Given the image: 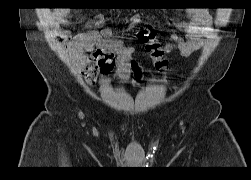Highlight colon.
<instances>
[{
    "instance_id": "1",
    "label": "colon",
    "mask_w": 251,
    "mask_h": 180,
    "mask_svg": "<svg viewBox=\"0 0 251 180\" xmlns=\"http://www.w3.org/2000/svg\"><path fill=\"white\" fill-rule=\"evenodd\" d=\"M138 38L145 45L146 51L155 61V66L158 69L166 65L164 60V50L158 39L150 32L142 31L138 33Z\"/></svg>"
}]
</instances>
